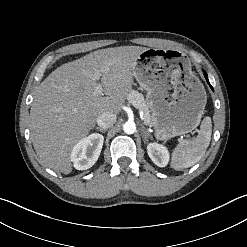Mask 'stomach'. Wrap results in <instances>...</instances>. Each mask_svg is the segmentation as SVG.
I'll use <instances>...</instances> for the list:
<instances>
[{
    "mask_svg": "<svg viewBox=\"0 0 247 247\" xmlns=\"http://www.w3.org/2000/svg\"><path fill=\"white\" fill-rule=\"evenodd\" d=\"M133 75L146 91L157 139L169 140L197 128L207 95L185 55L176 49H147L137 58Z\"/></svg>",
    "mask_w": 247,
    "mask_h": 247,
    "instance_id": "stomach-1",
    "label": "stomach"
}]
</instances>
